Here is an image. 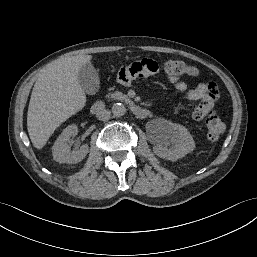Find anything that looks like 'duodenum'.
<instances>
[{"mask_svg": "<svg viewBox=\"0 0 257 257\" xmlns=\"http://www.w3.org/2000/svg\"><path fill=\"white\" fill-rule=\"evenodd\" d=\"M125 102L127 103L131 112L136 117H138L140 119H144V118H147L149 116L150 112H149L148 109L135 104L134 102H132L129 99H125ZM104 107H105V103L103 101H97L92 107V112L95 113V114L99 113L104 109Z\"/></svg>", "mask_w": 257, "mask_h": 257, "instance_id": "duodenum-1", "label": "duodenum"}]
</instances>
